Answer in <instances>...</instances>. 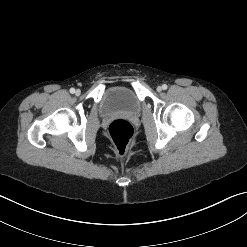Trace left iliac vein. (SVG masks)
<instances>
[{
    "label": "left iliac vein",
    "mask_w": 247,
    "mask_h": 247,
    "mask_svg": "<svg viewBox=\"0 0 247 247\" xmlns=\"http://www.w3.org/2000/svg\"><path fill=\"white\" fill-rule=\"evenodd\" d=\"M157 91H158V92H161V91H162V87H161V86H158V87H157Z\"/></svg>",
    "instance_id": "left-iliac-vein-1"
}]
</instances>
